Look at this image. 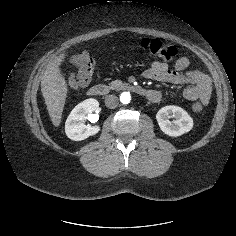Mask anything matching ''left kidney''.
Segmentation results:
<instances>
[{
  "instance_id": "left-kidney-1",
  "label": "left kidney",
  "mask_w": 236,
  "mask_h": 236,
  "mask_svg": "<svg viewBox=\"0 0 236 236\" xmlns=\"http://www.w3.org/2000/svg\"><path fill=\"white\" fill-rule=\"evenodd\" d=\"M171 114L176 120H169ZM156 119L161 131L171 137L181 136L193 128L191 116L183 108L174 105L161 108Z\"/></svg>"
}]
</instances>
